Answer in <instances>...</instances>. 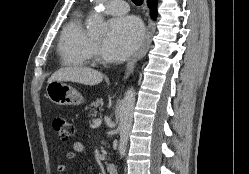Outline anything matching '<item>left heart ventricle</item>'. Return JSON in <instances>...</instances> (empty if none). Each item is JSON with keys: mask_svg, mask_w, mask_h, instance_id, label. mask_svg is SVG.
Listing matches in <instances>:
<instances>
[{"mask_svg": "<svg viewBox=\"0 0 249 174\" xmlns=\"http://www.w3.org/2000/svg\"><path fill=\"white\" fill-rule=\"evenodd\" d=\"M94 42L96 43L97 47L99 48V50H101V53H102V45H103L104 39L103 38H95Z\"/></svg>", "mask_w": 249, "mask_h": 174, "instance_id": "obj_1", "label": "left heart ventricle"}]
</instances>
